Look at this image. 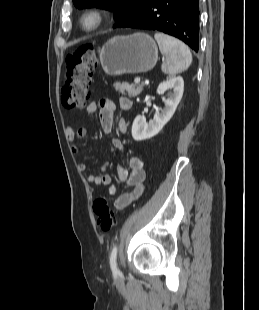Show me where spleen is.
I'll use <instances>...</instances> for the list:
<instances>
[{
  "label": "spleen",
  "mask_w": 259,
  "mask_h": 310,
  "mask_svg": "<svg viewBox=\"0 0 259 310\" xmlns=\"http://www.w3.org/2000/svg\"><path fill=\"white\" fill-rule=\"evenodd\" d=\"M154 37L161 53L166 57L161 66L163 73L176 75L189 68L192 54L183 42L164 33H155Z\"/></svg>",
  "instance_id": "1"
}]
</instances>
